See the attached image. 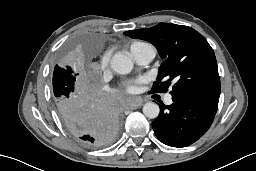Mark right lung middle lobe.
<instances>
[{
  "instance_id": "right-lung-middle-lobe-1",
  "label": "right lung middle lobe",
  "mask_w": 256,
  "mask_h": 171,
  "mask_svg": "<svg viewBox=\"0 0 256 171\" xmlns=\"http://www.w3.org/2000/svg\"><path fill=\"white\" fill-rule=\"evenodd\" d=\"M77 75L75 69L69 65L67 57L55 66L52 82L57 110H62L85 92V89L77 83Z\"/></svg>"
}]
</instances>
